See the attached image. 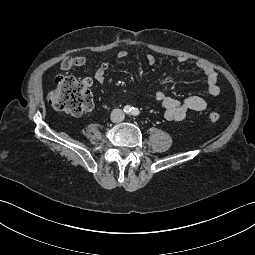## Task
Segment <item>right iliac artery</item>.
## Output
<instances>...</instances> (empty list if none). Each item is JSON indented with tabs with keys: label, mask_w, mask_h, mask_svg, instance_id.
<instances>
[{
	"label": "right iliac artery",
	"mask_w": 255,
	"mask_h": 255,
	"mask_svg": "<svg viewBox=\"0 0 255 255\" xmlns=\"http://www.w3.org/2000/svg\"><path fill=\"white\" fill-rule=\"evenodd\" d=\"M131 110H132V108H131L129 105H127V106L124 107V112H125V113H130Z\"/></svg>",
	"instance_id": "82829eb1"
}]
</instances>
